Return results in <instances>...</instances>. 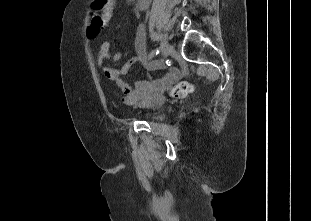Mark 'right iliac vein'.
Instances as JSON below:
<instances>
[{
	"mask_svg": "<svg viewBox=\"0 0 311 221\" xmlns=\"http://www.w3.org/2000/svg\"><path fill=\"white\" fill-rule=\"evenodd\" d=\"M171 51H172L171 45L166 41H164L161 46L163 60H165L170 55Z\"/></svg>",
	"mask_w": 311,
	"mask_h": 221,
	"instance_id": "right-iliac-vein-1",
	"label": "right iliac vein"
}]
</instances>
